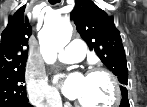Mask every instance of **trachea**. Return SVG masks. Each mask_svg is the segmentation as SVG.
<instances>
[{
	"instance_id": "3493384b",
	"label": "trachea",
	"mask_w": 147,
	"mask_h": 107,
	"mask_svg": "<svg viewBox=\"0 0 147 107\" xmlns=\"http://www.w3.org/2000/svg\"><path fill=\"white\" fill-rule=\"evenodd\" d=\"M61 0H49L50 4L60 3Z\"/></svg>"
}]
</instances>
